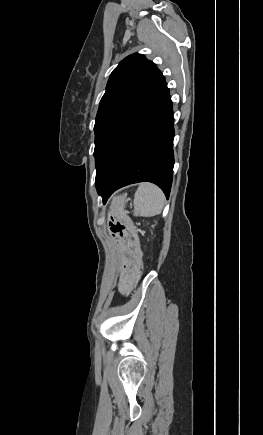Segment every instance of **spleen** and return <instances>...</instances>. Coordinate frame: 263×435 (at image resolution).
Masks as SVG:
<instances>
[{"mask_svg":"<svg viewBox=\"0 0 263 435\" xmlns=\"http://www.w3.org/2000/svg\"><path fill=\"white\" fill-rule=\"evenodd\" d=\"M165 196L162 190L151 183H141L135 193L134 210L136 215L152 217L162 212Z\"/></svg>","mask_w":263,"mask_h":435,"instance_id":"3e777b00","label":"spleen"}]
</instances>
